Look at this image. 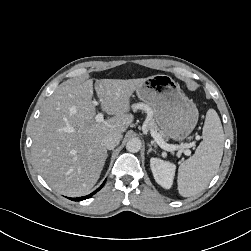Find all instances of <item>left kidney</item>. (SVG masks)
<instances>
[{
  "label": "left kidney",
  "mask_w": 251,
  "mask_h": 251,
  "mask_svg": "<svg viewBox=\"0 0 251 251\" xmlns=\"http://www.w3.org/2000/svg\"><path fill=\"white\" fill-rule=\"evenodd\" d=\"M150 168L155 181L163 188L170 189L175 175V164L159 158H151Z\"/></svg>",
  "instance_id": "5707ae66"
}]
</instances>
